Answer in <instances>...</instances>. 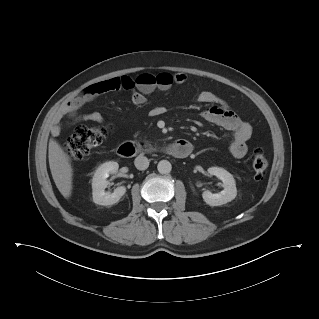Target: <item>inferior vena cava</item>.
<instances>
[{
  "instance_id": "1",
  "label": "inferior vena cava",
  "mask_w": 319,
  "mask_h": 319,
  "mask_svg": "<svg viewBox=\"0 0 319 319\" xmlns=\"http://www.w3.org/2000/svg\"><path fill=\"white\" fill-rule=\"evenodd\" d=\"M134 164L138 170H146L149 166V160L147 157L139 155L136 157Z\"/></svg>"
}]
</instances>
